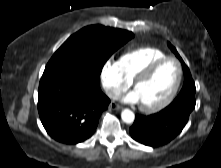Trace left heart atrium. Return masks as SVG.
<instances>
[{
	"label": "left heart atrium",
	"mask_w": 221,
	"mask_h": 168,
	"mask_svg": "<svg viewBox=\"0 0 221 168\" xmlns=\"http://www.w3.org/2000/svg\"><path fill=\"white\" fill-rule=\"evenodd\" d=\"M124 101L129 103H138L139 99L135 92H131L124 98Z\"/></svg>",
	"instance_id": "left-heart-atrium-1"
}]
</instances>
